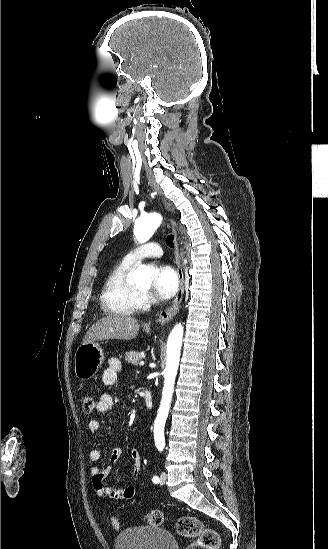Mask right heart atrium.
<instances>
[{
	"label": "right heart atrium",
	"instance_id": "right-heart-atrium-1",
	"mask_svg": "<svg viewBox=\"0 0 328 549\" xmlns=\"http://www.w3.org/2000/svg\"><path fill=\"white\" fill-rule=\"evenodd\" d=\"M146 299L148 300V299H149V297L147 296V297H146Z\"/></svg>",
	"mask_w": 328,
	"mask_h": 549
}]
</instances>
